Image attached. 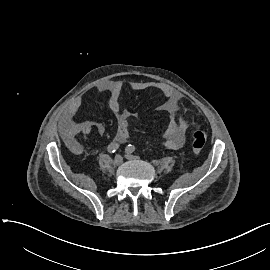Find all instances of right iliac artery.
<instances>
[{"label":"right iliac artery","instance_id":"obj_1","mask_svg":"<svg viewBox=\"0 0 270 270\" xmlns=\"http://www.w3.org/2000/svg\"><path fill=\"white\" fill-rule=\"evenodd\" d=\"M119 146L120 145L118 143L112 142L108 145L107 150L109 153H114L118 150Z\"/></svg>","mask_w":270,"mask_h":270}]
</instances>
